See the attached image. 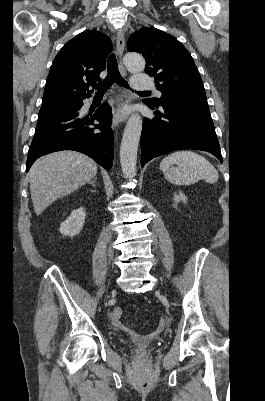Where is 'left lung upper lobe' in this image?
<instances>
[{"label":"left lung upper lobe","mask_w":265,"mask_h":401,"mask_svg":"<svg viewBox=\"0 0 265 401\" xmlns=\"http://www.w3.org/2000/svg\"><path fill=\"white\" fill-rule=\"evenodd\" d=\"M128 51L146 59L145 73L155 78L160 98L144 102L158 107L180 100H203L206 94L198 69L188 50L172 35L156 28H142L132 34Z\"/></svg>","instance_id":"5c2ea615"}]
</instances>
